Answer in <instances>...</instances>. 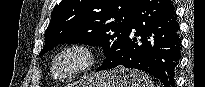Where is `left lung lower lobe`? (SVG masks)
Returning a JSON list of instances; mask_svg holds the SVG:
<instances>
[{
  "label": "left lung lower lobe",
  "instance_id": "obj_1",
  "mask_svg": "<svg viewBox=\"0 0 205 87\" xmlns=\"http://www.w3.org/2000/svg\"><path fill=\"white\" fill-rule=\"evenodd\" d=\"M180 50L179 23L172 1L138 0L121 50L96 71L135 68L158 78L165 87H175Z\"/></svg>",
  "mask_w": 205,
  "mask_h": 87
}]
</instances>
